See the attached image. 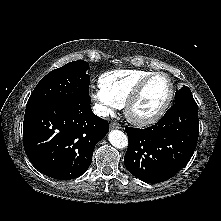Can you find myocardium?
Masks as SVG:
<instances>
[{
  "instance_id": "f54148a6",
  "label": "myocardium",
  "mask_w": 221,
  "mask_h": 221,
  "mask_svg": "<svg viewBox=\"0 0 221 221\" xmlns=\"http://www.w3.org/2000/svg\"><path fill=\"white\" fill-rule=\"evenodd\" d=\"M157 76H164L168 82H169V86H170V90H169V94L166 98V100L164 101L163 105L160 107V109L155 112L154 114L147 116V117H137L135 115H133L132 113V108L133 106L136 104V102L140 99L146 85L154 78ZM175 95V85L174 82L172 80V78L165 72H161V71H157V72H152L151 74L145 76L143 79H141L137 85L134 87V89L132 90V92L129 94V96L127 97V99L124 102V114L127 118V120L136 125V126H149L151 124L156 123L157 121H159L167 112V110L170 107V104L174 98Z\"/></svg>"
}]
</instances>
